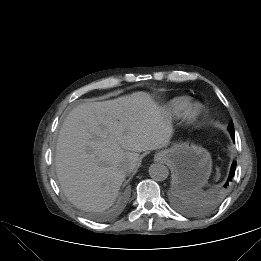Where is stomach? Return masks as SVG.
<instances>
[{
    "instance_id": "1",
    "label": "stomach",
    "mask_w": 261,
    "mask_h": 261,
    "mask_svg": "<svg viewBox=\"0 0 261 261\" xmlns=\"http://www.w3.org/2000/svg\"><path fill=\"white\" fill-rule=\"evenodd\" d=\"M155 159L171 168L173 184L181 193H195L207 183L211 174L209 152L195 144H174L170 149L157 153Z\"/></svg>"
}]
</instances>
